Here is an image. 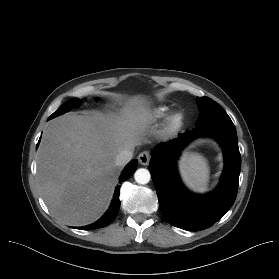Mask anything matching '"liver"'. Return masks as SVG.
I'll return each instance as SVG.
<instances>
[{"label": "liver", "mask_w": 279, "mask_h": 279, "mask_svg": "<svg viewBox=\"0 0 279 279\" xmlns=\"http://www.w3.org/2000/svg\"><path fill=\"white\" fill-rule=\"evenodd\" d=\"M151 120L140 96L128 99L119 113L93 111L51 120L37 154V178L50 212L73 226L100 218L121 172L117 155L145 141Z\"/></svg>", "instance_id": "obj_1"}]
</instances>
